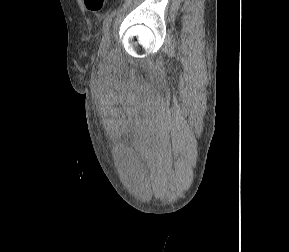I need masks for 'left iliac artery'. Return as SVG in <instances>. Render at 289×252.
<instances>
[{
	"label": "left iliac artery",
	"mask_w": 289,
	"mask_h": 252,
	"mask_svg": "<svg viewBox=\"0 0 289 252\" xmlns=\"http://www.w3.org/2000/svg\"><path fill=\"white\" fill-rule=\"evenodd\" d=\"M115 16L114 12L109 13L106 18L103 21V31H107L109 29V27L111 26L112 23V19Z\"/></svg>",
	"instance_id": "obj_1"
}]
</instances>
